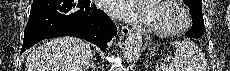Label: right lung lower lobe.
<instances>
[{
	"label": "right lung lower lobe",
	"instance_id": "1",
	"mask_svg": "<svg viewBox=\"0 0 230 71\" xmlns=\"http://www.w3.org/2000/svg\"><path fill=\"white\" fill-rule=\"evenodd\" d=\"M117 28L91 0H34L21 53L43 39L73 36L105 50Z\"/></svg>",
	"mask_w": 230,
	"mask_h": 71
}]
</instances>
